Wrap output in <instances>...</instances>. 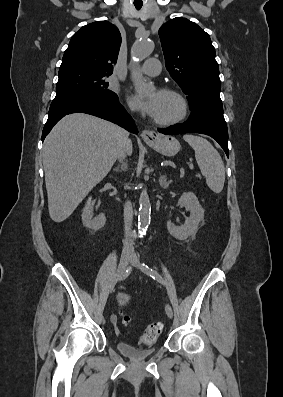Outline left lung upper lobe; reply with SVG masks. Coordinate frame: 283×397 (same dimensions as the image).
<instances>
[{"label":"left lung upper lobe","instance_id":"1","mask_svg":"<svg viewBox=\"0 0 283 397\" xmlns=\"http://www.w3.org/2000/svg\"><path fill=\"white\" fill-rule=\"evenodd\" d=\"M165 65L188 95L190 110L223 113L221 81L210 36L197 24L176 17L159 29Z\"/></svg>","mask_w":283,"mask_h":397}]
</instances>
